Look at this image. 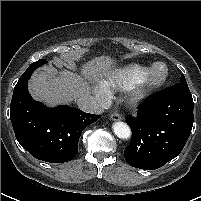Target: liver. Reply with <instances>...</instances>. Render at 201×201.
Instances as JSON below:
<instances>
[{
    "label": "liver",
    "instance_id": "obj_1",
    "mask_svg": "<svg viewBox=\"0 0 201 201\" xmlns=\"http://www.w3.org/2000/svg\"><path fill=\"white\" fill-rule=\"evenodd\" d=\"M112 64L113 60L109 56L96 57L83 65L84 78L68 70L58 72L55 68L49 67L33 74L29 90L36 100L50 106L68 103L83 94H89L88 81L105 75Z\"/></svg>",
    "mask_w": 201,
    "mask_h": 201
}]
</instances>
